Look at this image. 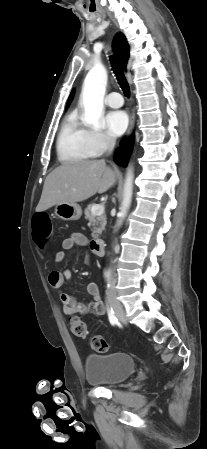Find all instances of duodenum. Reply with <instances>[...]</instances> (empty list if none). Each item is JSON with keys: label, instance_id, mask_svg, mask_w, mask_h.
I'll return each mask as SVG.
<instances>
[{"label": "duodenum", "instance_id": "410a0bca", "mask_svg": "<svg viewBox=\"0 0 207 449\" xmlns=\"http://www.w3.org/2000/svg\"><path fill=\"white\" fill-rule=\"evenodd\" d=\"M91 249L98 256L104 255V253H105V241L103 239H94V240H92L91 241Z\"/></svg>", "mask_w": 207, "mask_h": 449}]
</instances>
